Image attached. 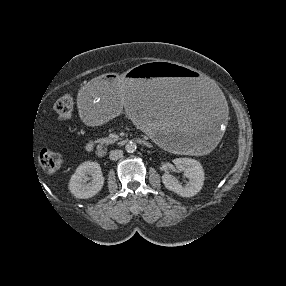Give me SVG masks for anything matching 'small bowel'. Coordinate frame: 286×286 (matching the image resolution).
<instances>
[{"mask_svg":"<svg viewBox=\"0 0 286 286\" xmlns=\"http://www.w3.org/2000/svg\"><path fill=\"white\" fill-rule=\"evenodd\" d=\"M84 148L87 153L92 152L94 149V142L92 140L87 141Z\"/></svg>","mask_w":286,"mask_h":286,"instance_id":"obj_1","label":"small bowel"}]
</instances>
